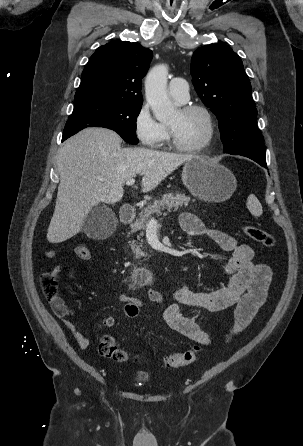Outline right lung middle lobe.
<instances>
[{"mask_svg": "<svg viewBox=\"0 0 303 446\" xmlns=\"http://www.w3.org/2000/svg\"><path fill=\"white\" fill-rule=\"evenodd\" d=\"M141 105L121 102H102L74 107L62 140L87 127H105L116 131L126 142L137 144L136 119Z\"/></svg>", "mask_w": 303, "mask_h": 446, "instance_id": "1", "label": "right lung middle lobe"}]
</instances>
